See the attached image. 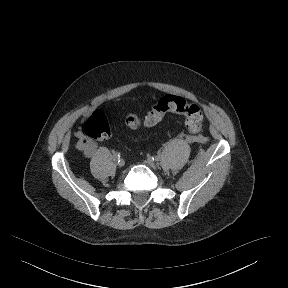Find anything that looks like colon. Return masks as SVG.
<instances>
[{
  "label": "colon",
  "instance_id": "1",
  "mask_svg": "<svg viewBox=\"0 0 288 288\" xmlns=\"http://www.w3.org/2000/svg\"><path fill=\"white\" fill-rule=\"evenodd\" d=\"M167 113H177L185 116V126L191 133L200 131L203 123V111L184 97L167 95L158 100L156 105L148 112L145 119L129 117L126 126L130 129L152 127L160 123ZM84 133L93 140H107L111 135V127L103 111L94 112L84 124Z\"/></svg>",
  "mask_w": 288,
  "mask_h": 288
}]
</instances>
